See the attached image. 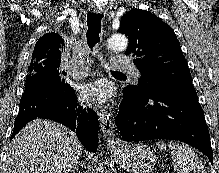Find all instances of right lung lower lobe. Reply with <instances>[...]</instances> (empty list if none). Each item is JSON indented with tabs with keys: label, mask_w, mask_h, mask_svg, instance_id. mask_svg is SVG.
Listing matches in <instances>:
<instances>
[{
	"label": "right lung lower lobe",
	"mask_w": 219,
	"mask_h": 173,
	"mask_svg": "<svg viewBox=\"0 0 219 173\" xmlns=\"http://www.w3.org/2000/svg\"><path fill=\"white\" fill-rule=\"evenodd\" d=\"M36 118L62 123L76 132L87 150L96 153L98 142L96 113L79 105L74 90H66L52 76H38L26 83L11 139L29 121Z\"/></svg>",
	"instance_id": "obj_1"
}]
</instances>
